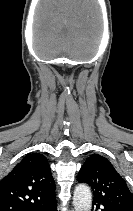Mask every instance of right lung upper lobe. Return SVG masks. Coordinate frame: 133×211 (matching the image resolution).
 I'll return each mask as SVG.
<instances>
[{
    "mask_svg": "<svg viewBox=\"0 0 133 211\" xmlns=\"http://www.w3.org/2000/svg\"><path fill=\"white\" fill-rule=\"evenodd\" d=\"M55 182L44 155L23 158L0 182V211H37L55 198Z\"/></svg>",
    "mask_w": 133,
    "mask_h": 211,
    "instance_id": "right-lung-upper-lobe-1",
    "label": "right lung upper lobe"
}]
</instances>
